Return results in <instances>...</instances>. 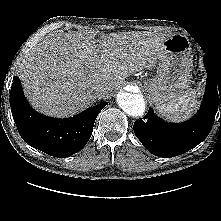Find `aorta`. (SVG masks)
<instances>
[{
  "mask_svg": "<svg viewBox=\"0 0 221 221\" xmlns=\"http://www.w3.org/2000/svg\"><path fill=\"white\" fill-rule=\"evenodd\" d=\"M117 104L128 115L142 116L145 112V101L141 94L120 91L117 94Z\"/></svg>",
  "mask_w": 221,
  "mask_h": 221,
  "instance_id": "aorta-1",
  "label": "aorta"
}]
</instances>
